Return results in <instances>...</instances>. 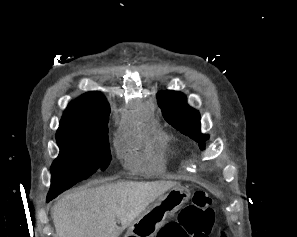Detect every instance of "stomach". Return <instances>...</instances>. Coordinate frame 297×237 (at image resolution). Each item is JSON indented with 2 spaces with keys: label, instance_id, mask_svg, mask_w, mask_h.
Here are the masks:
<instances>
[{
  "label": "stomach",
  "instance_id": "stomach-1",
  "mask_svg": "<svg viewBox=\"0 0 297 237\" xmlns=\"http://www.w3.org/2000/svg\"><path fill=\"white\" fill-rule=\"evenodd\" d=\"M189 197V190L174 186L138 216L125 237H154L167 217L178 211Z\"/></svg>",
  "mask_w": 297,
  "mask_h": 237
}]
</instances>
